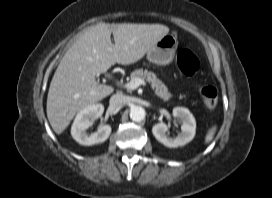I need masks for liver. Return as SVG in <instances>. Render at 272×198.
<instances>
[{"mask_svg": "<svg viewBox=\"0 0 272 198\" xmlns=\"http://www.w3.org/2000/svg\"><path fill=\"white\" fill-rule=\"evenodd\" d=\"M168 33L169 28L161 24L90 26L66 52L50 83L47 117L55 133H63L79 111L114 91L111 86L99 85L96 75L116 63L129 65L139 61Z\"/></svg>", "mask_w": 272, "mask_h": 198, "instance_id": "obj_1", "label": "liver"}]
</instances>
